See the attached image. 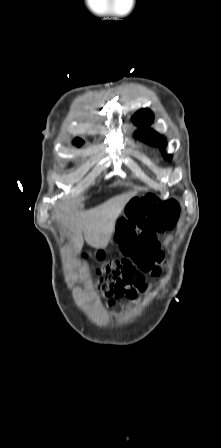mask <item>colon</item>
<instances>
[{
	"label": "colon",
	"instance_id": "obj_1",
	"mask_svg": "<svg viewBox=\"0 0 221 448\" xmlns=\"http://www.w3.org/2000/svg\"><path fill=\"white\" fill-rule=\"evenodd\" d=\"M140 211L146 219L140 217ZM180 215V206L174 199H160L146 195L133 202L128 208V216L119 219L116 227V239L126 241L134 237V243L128 245L131 260L114 259L105 261V255L98 254L102 266L98 268L105 289L128 290L129 295L142 289L144 279L141 272L158 275L164 262V256L156 241V233L173 228Z\"/></svg>",
	"mask_w": 221,
	"mask_h": 448
}]
</instances>
